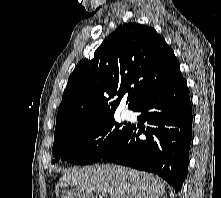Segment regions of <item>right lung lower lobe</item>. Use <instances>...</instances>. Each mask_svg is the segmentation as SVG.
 Returning <instances> with one entry per match:
<instances>
[{"label":"right lung lower lobe","mask_w":221,"mask_h":198,"mask_svg":"<svg viewBox=\"0 0 221 198\" xmlns=\"http://www.w3.org/2000/svg\"><path fill=\"white\" fill-rule=\"evenodd\" d=\"M134 111L149 126L138 130L131 124L122 141L100 160L156 173L178 192L187 175L192 139V107L181 72Z\"/></svg>","instance_id":"obj_1"}]
</instances>
